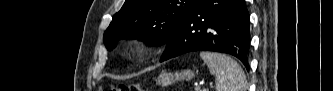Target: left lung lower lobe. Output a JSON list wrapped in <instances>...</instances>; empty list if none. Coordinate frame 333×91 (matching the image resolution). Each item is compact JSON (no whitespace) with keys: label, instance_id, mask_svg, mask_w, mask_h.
<instances>
[{"label":"left lung lower lobe","instance_id":"left-lung-lower-lobe-1","mask_svg":"<svg viewBox=\"0 0 333 91\" xmlns=\"http://www.w3.org/2000/svg\"><path fill=\"white\" fill-rule=\"evenodd\" d=\"M249 13L244 0H198L178 26L160 61L192 51L237 57L249 70Z\"/></svg>","mask_w":333,"mask_h":91}]
</instances>
